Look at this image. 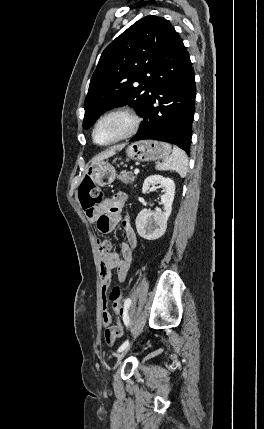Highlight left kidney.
I'll return each instance as SVG.
<instances>
[{
    "label": "left kidney",
    "instance_id": "1",
    "mask_svg": "<svg viewBox=\"0 0 264 429\" xmlns=\"http://www.w3.org/2000/svg\"><path fill=\"white\" fill-rule=\"evenodd\" d=\"M153 184H159L165 187V193L161 196L164 211L143 209L138 214L136 218L137 232L139 236L147 240H156L165 233L175 194L174 181L160 175L148 176L144 180L142 192L146 193Z\"/></svg>",
    "mask_w": 264,
    "mask_h": 429
}]
</instances>
